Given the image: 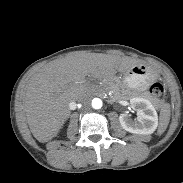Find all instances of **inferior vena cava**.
Listing matches in <instances>:
<instances>
[{
  "label": "inferior vena cava",
  "mask_w": 183,
  "mask_h": 183,
  "mask_svg": "<svg viewBox=\"0 0 183 183\" xmlns=\"http://www.w3.org/2000/svg\"><path fill=\"white\" fill-rule=\"evenodd\" d=\"M78 101L82 104H86V103H88L89 99L87 96H81V97H79Z\"/></svg>",
  "instance_id": "obj_1"
}]
</instances>
